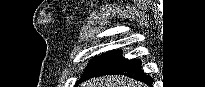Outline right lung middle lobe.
<instances>
[{
  "label": "right lung middle lobe",
  "instance_id": "obj_1",
  "mask_svg": "<svg viewBox=\"0 0 205 87\" xmlns=\"http://www.w3.org/2000/svg\"><path fill=\"white\" fill-rule=\"evenodd\" d=\"M110 53H111V51L106 52V53H104L103 55L98 56V57H95L94 59H92V60L90 61V63L88 64L87 68L85 69V72H84V74L82 75V77H81L79 83L81 82L83 76H84L92 67H94L98 62H100L103 58H105V57H106L107 55H109Z\"/></svg>",
  "mask_w": 205,
  "mask_h": 87
}]
</instances>
